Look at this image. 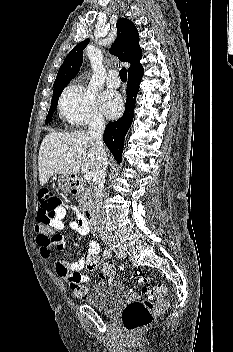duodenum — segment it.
<instances>
[{
    "label": "duodenum",
    "instance_id": "obj_1",
    "mask_svg": "<svg viewBox=\"0 0 233 352\" xmlns=\"http://www.w3.org/2000/svg\"><path fill=\"white\" fill-rule=\"evenodd\" d=\"M70 185L72 193H77L78 189L80 188L79 180L76 177H72L70 179ZM84 219L90 229L96 228L94 207L90 206L85 210Z\"/></svg>",
    "mask_w": 233,
    "mask_h": 352
}]
</instances>
